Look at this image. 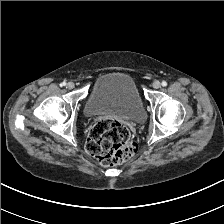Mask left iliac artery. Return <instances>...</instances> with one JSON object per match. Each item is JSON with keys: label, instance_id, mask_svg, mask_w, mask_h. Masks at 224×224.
Segmentation results:
<instances>
[{"label": "left iliac artery", "instance_id": "left-iliac-artery-1", "mask_svg": "<svg viewBox=\"0 0 224 224\" xmlns=\"http://www.w3.org/2000/svg\"><path fill=\"white\" fill-rule=\"evenodd\" d=\"M161 84H162L163 87L167 86V82L166 81H163Z\"/></svg>", "mask_w": 224, "mask_h": 224}]
</instances>
